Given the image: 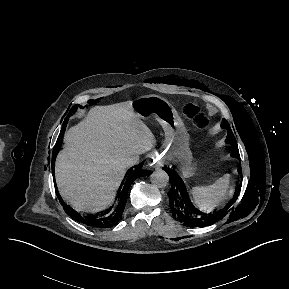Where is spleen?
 <instances>
[{"label": "spleen", "instance_id": "obj_1", "mask_svg": "<svg viewBox=\"0 0 289 289\" xmlns=\"http://www.w3.org/2000/svg\"><path fill=\"white\" fill-rule=\"evenodd\" d=\"M230 188V174H225L208 186H196L192 196L196 205L204 211H212L227 199Z\"/></svg>", "mask_w": 289, "mask_h": 289}]
</instances>
